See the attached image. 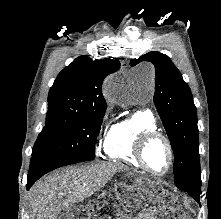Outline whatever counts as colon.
I'll return each mask as SVG.
<instances>
[{
	"label": "colon",
	"instance_id": "obj_1",
	"mask_svg": "<svg viewBox=\"0 0 221 219\" xmlns=\"http://www.w3.org/2000/svg\"><path fill=\"white\" fill-rule=\"evenodd\" d=\"M141 204L146 205L150 199H146V195L140 196ZM122 201L123 209L130 213L134 210L135 199L132 193L118 188L102 194L97 200L72 209L59 219H110L115 217V212ZM159 211L162 214L161 219H190L189 215L183 210H172L170 205L160 200L158 204Z\"/></svg>",
	"mask_w": 221,
	"mask_h": 219
}]
</instances>
